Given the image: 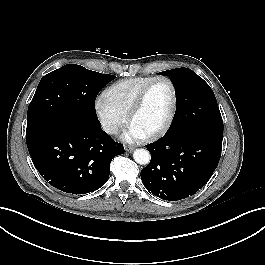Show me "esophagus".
Here are the masks:
<instances>
[{"label": "esophagus", "mask_w": 265, "mask_h": 265, "mask_svg": "<svg viewBox=\"0 0 265 265\" xmlns=\"http://www.w3.org/2000/svg\"><path fill=\"white\" fill-rule=\"evenodd\" d=\"M133 150H134V148L132 146H126L125 147V151L128 152V153L132 152Z\"/></svg>", "instance_id": "34e87169"}]
</instances>
